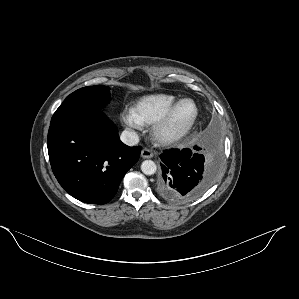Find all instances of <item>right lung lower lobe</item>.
Segmentation results:
<instances>
[{"label": "right lung lower lobe", "instance_id": "98d812e1", "mask_svg": "<svg viewBox=\"0 0 299 299\" xmlns=\"http://www.w3.org/2000/svg\"><path fill=\"white\" fill-rule=\"evenodd\" d=\"M48 154L60 185L74 198L105 204L116 194L141 147H129L98 110L78 111L50 123Z\"/></svg>", "mask_w": 299, "mask_h": 299}]
</instances>
